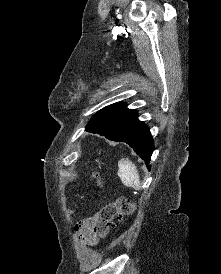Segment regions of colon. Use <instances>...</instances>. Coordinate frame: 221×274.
I'll return each mask as SVG.
<instances>
[{
	"instance_id": "obj_1",
	"label": "colon",
	"mask_w": 221,
	"mask_h": 274,
	"mask_svg": "<svg viewBox=\"0 0 221 274\" xmlns=\"http://www.w3.org/2000/svg\"><path fill=\"white\" fill-rule=\"evenodd\" d=\"M94 178L99 185L101 179L98 173H94ZM134 211V204L125 197H119L114 202L106 205L100 212L99 223L97 227L98 234L102 238H106L113 226L115 220H121L125 216L132 214Z\"/></svg>"
}]
</instances>
